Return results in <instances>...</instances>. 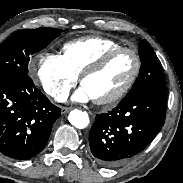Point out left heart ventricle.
I'll list each match as a JSON object with an SVG mask.
<instances>
[{
	"instance_id": "obj_1",
	"label": "left heart ventricle",
	"mask_w": 183,
	"mask_h": 183,
	"mask_svg": "<svg viewBox=\"0 0 183 183\" xmlns=\"http://www.w3.org/2000/svg\"><path fill=\"white\" fill-rule=\"evenodd\" d=\"M135 66L132 54L116 55L101 71L87 77L84 86L93 99H103L119 91L129 80Z\"/></svg>"
}]
</instances>
